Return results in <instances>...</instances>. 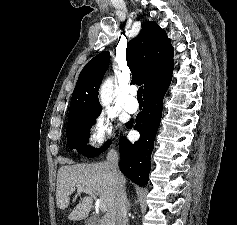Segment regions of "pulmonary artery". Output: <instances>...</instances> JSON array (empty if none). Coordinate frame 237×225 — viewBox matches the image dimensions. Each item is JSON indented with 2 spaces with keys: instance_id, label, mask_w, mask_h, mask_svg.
Masks as SVG:
<instances>
[{
  "instance_id": "e3ab8cb5",
  "label": "pulmonary artery",
  "mask_w": 237,
  "mask_h": 225,
  "mask_svg": "<svg viewBox=\"0 0 237 225\" xmlns=\"http://www.w3.org/2000/svg\"><path fill=\"white\" fill-rule=\"evenodd\" d=\"M135 94L136 91L134 89H131L124 103V109L131 114L136 113L138 111V101L135 98Z\"/></svg>"
}]
</instances>
